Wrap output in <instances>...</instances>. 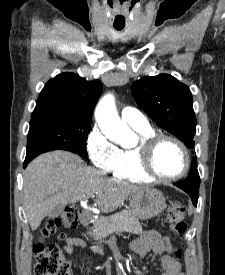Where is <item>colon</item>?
<instances>
[{
	"label": "colon",
	"mask_w": 225,
	"mask_h": 275,
	"mask_svg": "<svg viewBox=\"0 0 225 275\" xmlns=\"http://www.w3.org/2000/svg\"><path fill=\"white\" fill-rule=\"evenodd\" d=\"M185 210V205L181 202H173L167 210V222L170 224L172 234L177 238H182L188 228ZM79 214L80 210L77 206L67 207L61 216L44 226L41 237L47 238L55 234L61 226L75 228ZM174 253L177 258L182 257L181 249L176 248ZM34 257L36 261L34 275H71L70 263L57 246H44L38 243L34 246Z\"/></svg>",
	"instance_id": "obj_1"
}]
</instances>
